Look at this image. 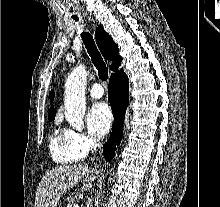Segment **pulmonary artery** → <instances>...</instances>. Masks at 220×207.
Masks as SVG:
<instances>
[{"instance_id":"e3ab8cb5","label":"pulmonary artery","mask_w":220,"mask_h":207,"mask_svg":"<svg viewBox=\"0 0 220 207\" xmlns=\"http://www.w3.org/2000/svg\"><path fill=\"white\" fill-rule=\"evenodd\" d=\"M103 94L104 89L100 84H94L89 90V95L94 99L101 98Z\"/></svg>"}]
</instances>
